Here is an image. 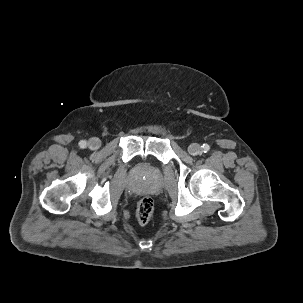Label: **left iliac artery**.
<instances>
[{"label":"left iliac artery","instance_id":"obj_1","mask_svg":"<svg viewBox=\"0 0 303 303\" xmlns=\"http://www.w3.org/2000/svg\"><path fill=\"white\" fill-rule=\"evenodd\" d=\"M210 150V146L208 144H203L202 145V151L203 152H208Z\"/></svg>","mask_w":303,"mask_h":303}]
</instances>
